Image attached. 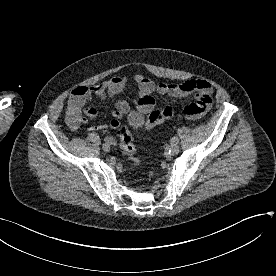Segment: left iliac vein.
I'll use <instances>...</instances> for the list:
<instances>
[{"mask_svg":"<svg viewBox=\"0 0 276 276\" xmlns=\"http://www.w3.org/2000/svg\"><path fill=\"white\" fill-rule=\"evenodd\" d=\"M170 152L172 155H176L179 152V146L178 144H172L170 148Z\"/></svg>","mask_w":276,"mask_h":276,"instance_id":"1","label":"left iliac vein"}]
</instances>
